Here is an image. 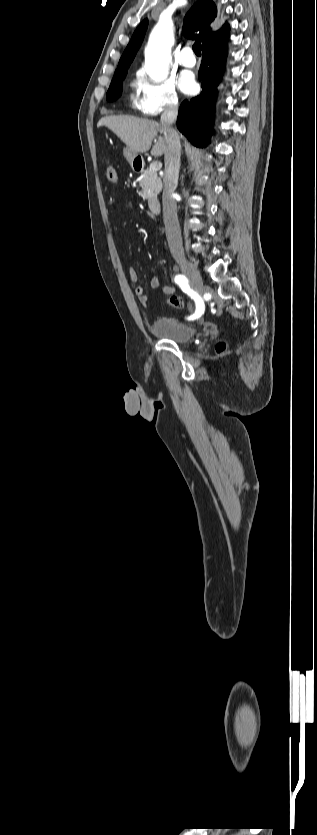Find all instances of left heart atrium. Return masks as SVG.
<instances>
[{
    "label": "left heart atrium",
    "instance_id": "obj_1",
    "mask_svg": "<svg viewBox=\"0 0 317 835\" xmlns=\"http://www.w3.org/2000/svg\"><path fill=\"white\" fill-rule=\"evenodd\" d=\"M179 87L186 94H192L197 89V84L192 73L184 72L179 79Z\"/></svg>",
    "mask_w": 317,
    "mask_h": 835
}]
</instances>
